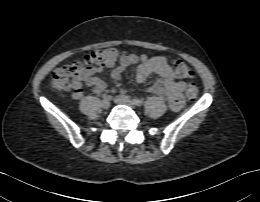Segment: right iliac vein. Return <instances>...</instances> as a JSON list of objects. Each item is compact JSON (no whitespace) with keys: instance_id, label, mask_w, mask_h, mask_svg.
Instances as JSON below:
<instances>
[{"instance_id":"1","label":"right iliac vein","mask_w":260,"mask_h":202,"mask_svg":"<svg viewBox=\"0 0 260 202\" xmlns=\"http://www.w3.org/2000/svg\"><path fill=\"white\" fill-rule=\"evenodd\" d=\"M101 105L104 109H108L110 107V101L108 99H104L102 100Z\"/></svg>"}]
</instances>
